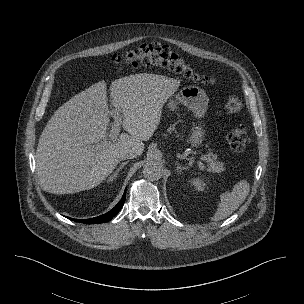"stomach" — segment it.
Here are the masks:
<instances>
[{"mask_svg": "<svg viewBox=\"0 0 304 304\" xmlns=\"http://www.w3.org/2000/svg\"><path fill=\"white\" fill-rule=\"evenodd\" d=\"M208 96L205 91L197 86H185L183 87L175 98L170 99L168 102V108L174 110L178 103L183 104L190 110H192L197 117H202L208 106ZM204 139V130L201 126H195L191 134L189 135L188 141L192 147H198L201 145Z\"/></svg>", "mask_w": 304, "mask_h": 304, "instance_id": "0dacf381", "label": "stomach"}]
</instances>
